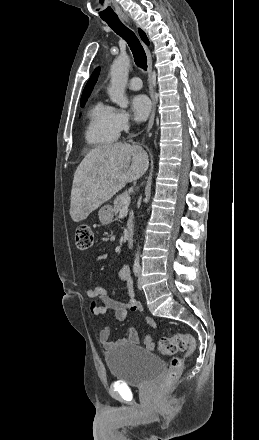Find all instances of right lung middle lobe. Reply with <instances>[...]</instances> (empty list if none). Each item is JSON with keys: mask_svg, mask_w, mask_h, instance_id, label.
Segmentation results:
<instances>
[{"mask_svg": "<svg viewBox=\"0 0 259 440\" xmlns=\"http://www.w3.org/2000/svg\"><path fill=\"white\" fill-rule=\"evenodd\" d=\"M86 101H87V98L81 99V107H83L85 105Z\"/></svg>", "mask_w": 259, "mask_h": 440, "instance_id": "dd1d6c3e", "label": "right lung middle lobe"}]
</instances>
